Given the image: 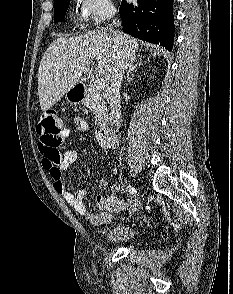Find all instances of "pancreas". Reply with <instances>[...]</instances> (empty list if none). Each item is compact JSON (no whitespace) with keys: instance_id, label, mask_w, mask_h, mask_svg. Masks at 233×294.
<instances>
[{"instance_id":"obj_1","label":"pancreas","mask_w":233,"mask_h":294,"mask_svg":"<svg viewBox=\"0 0 233 294\" xmlns=\"http://www.w3.org/2000/svg\"><path fill=\"white\" fill-rule=\"evenodd\" d=\"M106 94L95 88H90L83 100L85 105L93 111L95 123L102 130L106 127L108 121V109L105 102Z\"/></svg>"}]
</instances>
